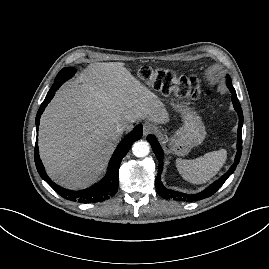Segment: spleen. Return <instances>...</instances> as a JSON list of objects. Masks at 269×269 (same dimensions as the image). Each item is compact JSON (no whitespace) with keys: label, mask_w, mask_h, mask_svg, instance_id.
Segmentation results:
<instances>
[{"label":"spleen","mask_w":269,"mask_h":269,"mask_svg":"<svg viewBox=\"0 0 269 269\" xmlns=\"http://www.w3.org/2000/svg\"><path fill=\"white\" fill-rule=\"evenodd\" d=\"M227 159V151L220 149L206 153L196 159H177L179 174L188 182L203 184L211 180L223 167Z\"/></svg>","instance_id":"1"}]
</instances>
